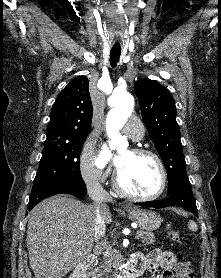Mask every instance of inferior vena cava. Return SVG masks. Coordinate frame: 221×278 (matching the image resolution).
Instances as JSON below:
<instances>
[{"instance_id": "1", "label": "inferior vena cava", "mask_w": 221, "mask_h": 278, "mask_svg": "<svg viewBox=\"0 0 221 278\" xmlns=\"http://www.w3.org/2000/svg\"><path fill=\"white\" fill-rule=\"evenodd\" d=\"M87 192L90 198L95 202L96 209V222H95V240L98 241L105 235V220L102 216V208L105 207V202H111L112 197L107 193L98 180V175H92L86 181Z\"/></svg>"}]
</instances>
